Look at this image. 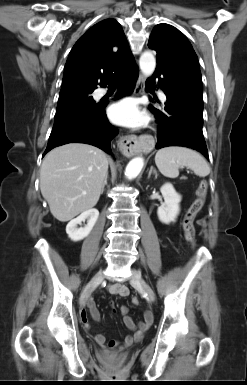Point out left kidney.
Masks as SVG:
<instances>
[{
  "mask_svg": "<svg viewBox=\"0 0 247 385\" xmlns=\"http://www.w3.org/2000/svg\"><path fill=\"white\" fill-rule=\"evenodd\" d=\"M160 191L164 197V203L157 210L159 220L164 224L176 221L180 212L181 195L176 192L170 183L164 184Z\"/></svg>",
  "mask_w": 247,
  "mask_h": 385,
  "instance_id": "left-kidney-1",
  "label": "left kidney"
}]
</instances>
